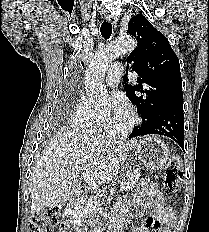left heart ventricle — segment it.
<instances>
[{
  "instance_id": "1",
  "label": "left heart ventricle",
  "mask_w": 209,
  "mask_h": 232,
  "mask_svg": "<svg viewBox=\"0 0 209 232\" xmlns=\"http://www.w3.org/2000/svg\"><path fill=\"white\" fill-rule=\"evenodd\" d=\"M106 116L108 117V125L110 128L114 130H119L124 128L129 123V115L122 116L118 119H111V114L107 113Z\"/></svg>"
}]
</instances>
